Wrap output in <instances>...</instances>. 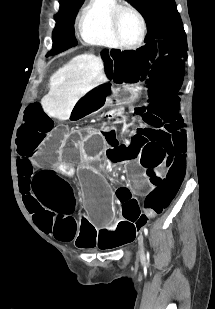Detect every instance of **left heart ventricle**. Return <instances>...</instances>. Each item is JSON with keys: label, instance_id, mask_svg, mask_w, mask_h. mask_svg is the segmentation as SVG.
<instances>
[{"label": "left heart ventricle", "instance_id": "1", "mask_svg": "<svg viewBox=\"0 0 215 309\" xmlns=\"http://www.w3.org/2000/svg\"><path fill=\"white\" fill-rule=\"evenodd\" d=\"M122 13V20H119V33L121 35L118 41H127V44L134 42L138 34V25L135 17L128 12Z\"/></svg>", "mask_w": 215, "mask_h": 309}]
</instances>
